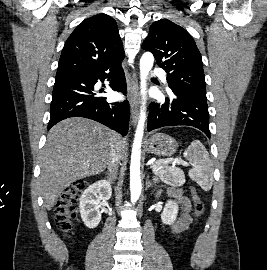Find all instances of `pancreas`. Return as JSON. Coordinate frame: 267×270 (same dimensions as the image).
<instances>
[{
  "label": "pancreas",
  "mask_w": 267,
  "mask_h": 270,
  "mask_svg": "<svg viewBox=\"0 0 267 270\" xmlns=\"http://www.w3.org/2000/svg\"><path fill=\"white\" fill-rule=\"evenodd\" d=\"M153 171L155 175L161 177L166 183L173 184V176L170 174L171 169L167 167L166 163L157 161L154 163Z\"/></svg>",
  "instance_id": "obj_1"
}]
</instances>
